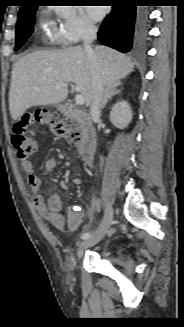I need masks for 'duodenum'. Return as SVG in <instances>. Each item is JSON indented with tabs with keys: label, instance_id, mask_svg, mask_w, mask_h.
Instances as JSON below:
<instances>
[{
	"label": "duodenum",
	"instance_id": "410a0bca",
	"mask_svg": "<svg viewBox=\"0 0 184 327\" xmlns=\"http://www.w3.org/2000/svg\"><path fill=\"white\" fill-rule=\"evenodd\" d=\"M61 112L76 120L82 133V139L78 147L79 155L85 164H91L95 155L97 138L88 112L69 105H63Z\"/></svg>",
	"mask_w": 184,
	"mask_h": 327
}]
</instances>
